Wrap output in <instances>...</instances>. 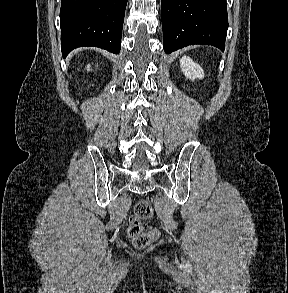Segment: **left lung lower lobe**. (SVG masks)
Wrapping results in <instances>:
<instances>
[{"mask_svg": "<svg viewBox=\"0 0 288 293\" xmlns=\"http://www.w3.org/2000/svg\"><path fill=\"white\" fill-rule=\"evenodd\" d=\"M166 53L193 44L224 51L228 29L226 0H161Z\"/></svg>", "mask_w": 288, "mask_h": 293, "instance_id": "left-lung-lower-lobe-1", "label": "left lung lower lobe"}]
</instances>
